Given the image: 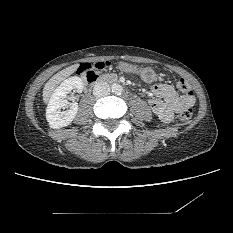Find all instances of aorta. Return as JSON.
<instances>
[{
    "instance_id": "762f6f07",
    "label": "aorta",
    "mask_w": 233,
    "mask_h": 233,
    "mask_svg": "<svg viewBox=\"0 0 233 233\" xmlns=\"http://www.w3.org/2000/svg\"><path fill=\"white\" fill-rule=\"evenodd\" d=\"M122 91H123V88H122L121 85L115 84V85L113 86V92H114L115 94H121Z\"/></svg>"
}]
</instances>
